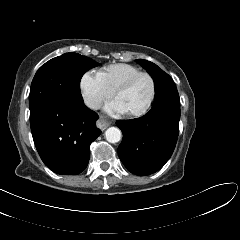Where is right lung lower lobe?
<instances>
[{
	"label": "right lung lower lobe",
	"mask_w": 240,
	"mask_h": 240,
	"mask_svg": "<svg viewBox=\"0 0 240 240\" xmlns=\"http://www.w3.org/2000/svg\"><path fill=\"white\" fill-rule=\"evenodd\" d=\"M97 119L83 101H55L30 113L33 140L44 164L57 174L81 173L89 162L90 144L101 134Z\"/></svg>",
	"instance_id": "1"
}]
</instances>
